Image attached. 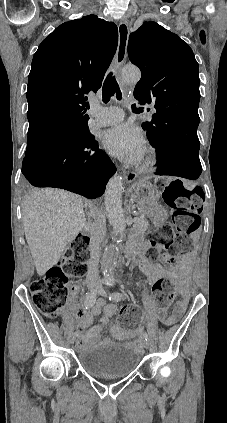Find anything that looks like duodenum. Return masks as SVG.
<instances>
[{
  "instance_id": "410a0bca",
  "label": "duodenum",
  "mask_w": 227,
  "mask_h": 423,
  "mask_svg": "<svg viewBox=\"0 0 227 423\" xmlns=\"http://www.w3.org/2000/svg\"><path fill=\"white\" fill-rule=\"evenodd\" d=\"M147 246L146 243L141 245L142 249H145V247ZM129 248L132 250L133 254H136L138 252V246H135L134 244H130Z\"/></svg>"
}]
</instances>
